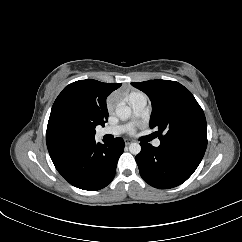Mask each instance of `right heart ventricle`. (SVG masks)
<instances>
[{"label": "right heart ventricle", "mask_w": 242, "mask_h": 242, "mask_svg": "<svg viewBox=\"0 0 242 242\" xmlns=\"http://www.w3.org/2000/svg\"><path fill=\"white\" fill-rule=\"evenodd\" d=\"M138 94H141L139 92H134V93H131L128 97V100L130 101L131 98H133L134 96L138 95Z\"/></svg>", "instance_id": "1"}]
</instances>
